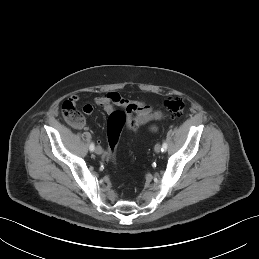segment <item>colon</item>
I'll use <instances>...</instances> for the list:
<instances>
[{"label":"colon","instance_id":"obj_1","mask_svg":"<svg viewBox=\"0 0 259 259\" xmlns=\"http://www.w3.org/2000/svg\"><path fill=\"white\" fill-rule=\"evenodd\" d=\"M166 110L173 116L179 117L185 109V102L181 98H169L165 101ZM61 112L64 120L72 126H79L83 123L82 112L76 107L72 98L66 99L61 106ZM128 122L127 113L124 110L113 111L107 121V138L109 149L106 158L110 163L115 162V150L120 139L121 132Z\"/></svg>","mask_w":259,"mask_h":259}]
</instances>
